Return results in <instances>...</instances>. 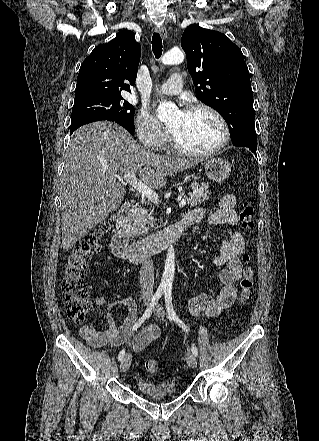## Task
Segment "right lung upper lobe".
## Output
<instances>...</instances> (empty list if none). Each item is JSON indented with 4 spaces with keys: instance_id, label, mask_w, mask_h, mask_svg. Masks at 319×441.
Instances as JSON below:
<instances>
[{
    "instance_id": "right-lung-upper-lobe-1",
    "label": "right lung upper lobe",
    "mask_w": 319,
    "mask_h": 441,
    "mask_svg": "<svg viewBox=\"0 0 319 441\" xmlns=\"http://www.w3.org/2000/svg\"><path fill=\"white\" fill-rule=\"evenodd\" d=\"M140 45L135 34L120 31L109 43L100 44L81 64L77 77L75 100L94 96H121L129 91L137 76Z\"/></svg>"
}]
</instances>
